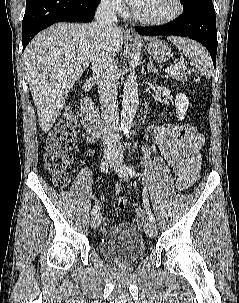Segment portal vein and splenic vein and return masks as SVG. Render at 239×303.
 <instances>
[{
    "mask_svg": "<svg viewBox=\"0 0 239 303\" xmlns=\"http://www.w3.org/2000/svg\"><path fill=\"white\" fill-rule=\"evenodd\" d=\"M180 65H182V62H178L174 66L166 68L165 71L167 73H171L173 70L177 69V67H179Z\"/></svg>",
    "mask_w": 239,
    "mask_h": 303,
    "instance_id": "18ae733b",
    "label": "portal vein and splenic vein"
}]
</instances>
